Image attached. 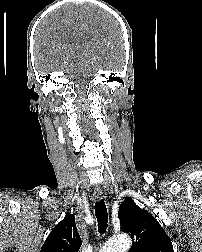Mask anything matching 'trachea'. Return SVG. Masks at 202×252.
<instances>
[{
  "instance_id": "obj_1",
  "label": "trachea",
  "mask_w": 202,
  "mask_h": 252,
  "mask_svg": "<svg viewBox=\"0 0 202 252\" xmlns=\"http://www.w3.org/2000/svg\"><path fill=\"white\" fill-rule=\"evenodd\" d=\"M95 215L98 222L99 233L106 232L108 226V213L104 200L95 203Z\"/></svg>"
}]
</instances>
